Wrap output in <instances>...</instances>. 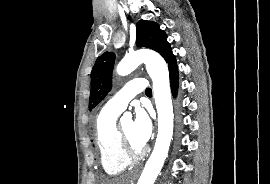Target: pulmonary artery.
<instances>
[{
	"mask_svg": "<svg viewBox=\"0 0 270 184\" xmlns=\"http://www.w3.org/2000/svg\"><path fill=\"white\" fill-rule=\"evenodd\" d=\"M147 81L136 78L129 81L117 94L108 100L106 106L118 112H122L128 103L139 93L145 91Z\"/></svg>",
	"mask_w": 270,
	"mask_h": 184,
	"instance_id": "pulmonary-artery-1",
	"label": "pulmonary artery"
}]
</instances>
